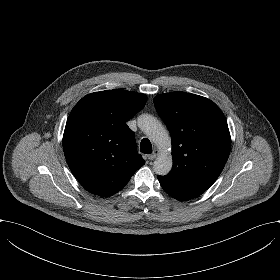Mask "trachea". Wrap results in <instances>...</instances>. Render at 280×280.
I'll return each instance as SVG.
<instances>
[{
	"label": "trachea",
	"instance_id": "obj_1",
	"mask_svg": "<svg viewBox=\"0 0 280 280\" xmlns=\"http://www.w3.org/2000/svg\"><path fill=\"white\" fill-rule=\"evenodd\" d=\"M140 151L144 154L152 153V145H151L149 139L144 138L141 140Z\"/></svg>",
	"mask_w": 280,
	"mask_h": 280
}]
</instances>
